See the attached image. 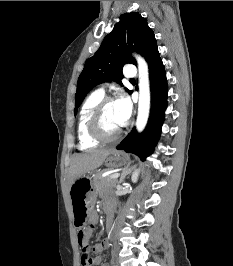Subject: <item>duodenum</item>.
<instances>
[{"label": "duodenum", "mask_w": 233, "mask_h": 266, "mask_svg": "<svg viewBox=\"0 0 233 266\" xmlns=\"http://www.w3.org/2000/svg\"><path fill=\"white\" fill-rule=\"evenodd\" d=\"M106 215L108 217V221L112 222L113 214H114V206L113 205H107L105 208Z\"/></svg>", "instance_id": "410a0bca"}]
</instances>
